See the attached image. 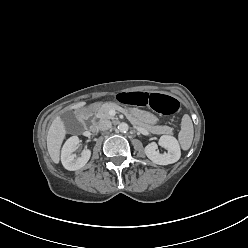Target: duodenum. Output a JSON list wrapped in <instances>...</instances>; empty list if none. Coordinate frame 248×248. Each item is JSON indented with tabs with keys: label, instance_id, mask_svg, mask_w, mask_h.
Segmentation results:
<instances>
[{
	"label": "duodenum",
	"instance_id": "410a0bca",
	"mask_svg": "<svg viewBox=\"0 0 248 248\" xmlns=\"http://www.w3.org/2000/svg\"><path fill=\"white\" fill-rule=\"evenodd\" d=\"M95 117H96V111L95 109H91V110H87L86 112L82 113L80 116V120L82 122H90ZM89 127L91 131H96L97 129L96 124L94 123H91Z\"/></svg>",
	"mask_w": 248,
	"mask_h": 248
}]
</instances>
